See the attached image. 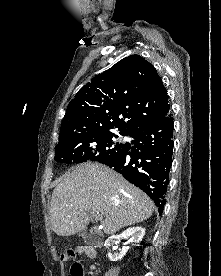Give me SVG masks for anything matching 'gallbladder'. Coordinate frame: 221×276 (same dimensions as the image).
<instances>
[{
	"label": "gallbladder",
	"mask_w": 221,
	"mask_h": 276,
	"mask_svg": "<svg viewBox=\"0 0 221 276\" xmlns=\"http://www.w3.org/2000/svg\"><path fill=\"white\" fill-rule=\"evenodd\" d=\"M93 238H94V234H93V233L88 234V235L85 237V241H86V242H92V241H93Z\"/></svg>",
	"instance_id": "bac80fb5"
}]
</instances>
